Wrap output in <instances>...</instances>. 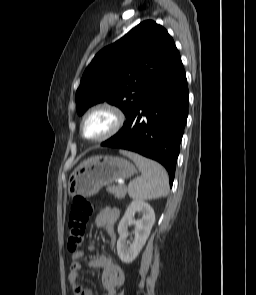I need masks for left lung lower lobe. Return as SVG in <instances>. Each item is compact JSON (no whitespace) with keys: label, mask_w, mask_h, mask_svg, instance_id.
<instances>
[{"label":"left lung lower lobe","mask_w":256,"mask_h":295,"mask_svg":"<svg viewBox=\"0 0 256 295\" xmlns=\"http://www.w3.org/2000/svg\"><path fill=\"white\" fill-rule=\"evenodd\" d=\"M189 92L182 62L153 87L122 129L102 146L139 153L161 163L173 183L188 116ZM145 116L144 120L141 118Z\"/></svg>","instance_id":"1"}]
</instances>
